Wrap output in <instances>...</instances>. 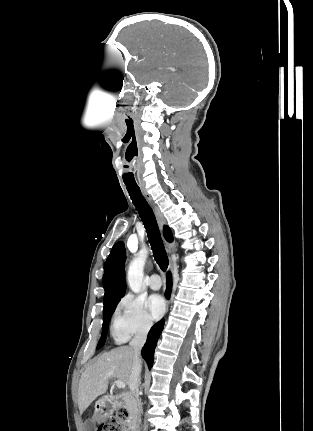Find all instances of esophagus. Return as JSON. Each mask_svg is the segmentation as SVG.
I'll return each instance as SVG.
<instances>
[{"mask_svg":"<svg viewBox=\"0 0 313 431\" xmlns=\"http://www.w3.org/2000/svg\"><path fill=\"white\" fill-rule=\"evenodd\" d=\"M142 194L145 197V199L148 202V204L150 205V207L152 208V210H153V212H154V214L156 216V219L158 221V224H159L160 228L162 229L163 226L166 225V220H165L163 214L161 213L160 209L158 208V206L156 205V203L154 202V200L152 199V197L147 193L146 190L142 189ZM165 246H166L167 251L169 253H171V252L174 251L175 243L174 242L170 243V242H167L165 240ZM170 269H171V271L173 270V263H172V261L170 262Z\"/></svg>","mask_w":313,"mask_h":431,"instance_id":"1","label":"esophagus"}]
</instances>
